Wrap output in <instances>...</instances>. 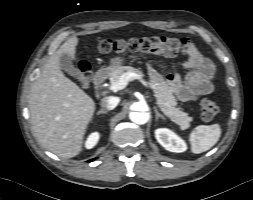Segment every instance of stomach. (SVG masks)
<instances>
[{
  "label": "stomach",
  "mask_w": 253,
  "mask_h": 200,
  "mask_svg": "<svg viewBox=\"0 0 253 200\" xmlns=\"http://www.w3.org/2000/svg\"><path fill=\"white\" fill-rule=\"evenodd\" d=\"M124 62V59L121 57H114L111 59V66L110 69L113 70L117 67H119Z\"/></svg>",
  "instance_id": "0dacf381"
}]
</instances>
